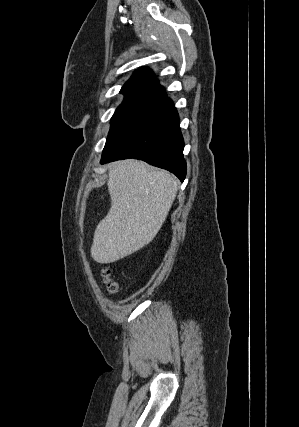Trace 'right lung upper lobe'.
Wrapping results in <instances>:
<instances>
[{
	"instance_id": "cb5924a9",
	"label": "right lung upper lobe",
	"mask_w": 299,
	"mask_h": 427,
	"mask_svg": "<svg viewBox=\"0 0 299 427\" xmlns=\"http://www.w3.org/2000/svg\"><path fill=\"white\" fill-rule=\"evenodd\" d=\"M120 92L125 95L124 100L147 101L154 104L166 98L164 88L149 68L138 69Z\"/></svg>"
}]
</instances>
